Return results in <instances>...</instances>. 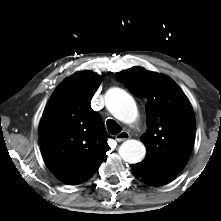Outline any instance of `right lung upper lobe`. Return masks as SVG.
<instances>
[{
    "mask_svg": "<svg viewBox=\"0 0 221 221\" xmlns=\"http://www.w3.org/2000/svg\"><path fill=\"white\" fill-rule=\"evenodd\" d=\"M102 77L77 72L53 92L39 126V142L50 171L62 182L76 185L100 167L107 144L101 116L90 107Z\"/></svg>",
    "mask_w": 221,
    "mask_h": 221,
    "instance_id": "right-lung-upper-lobe-1",
    "label": "right lung upper lobe"
}]
</instances>
